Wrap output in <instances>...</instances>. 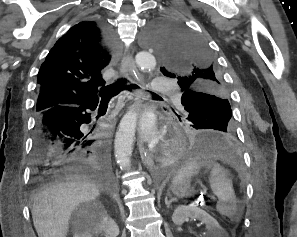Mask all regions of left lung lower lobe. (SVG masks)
<instances>
[{
    "instance_id": "left-lung-lower-lobe-1",
    "label": "left lung lower lobe",
    "mask_w": 297,
    "mask_h": 237,
    "mask_svg": "<svg viewBox=\"0 0 297 237\" xmlns=\"http://www.w3.org/2000/svg\"><path fill=\"white\" fill-rule=\"evenodd\" d=\"M191 122V129L181 142L173 156V162L183 163L204 156L230 157L237 149L234 133L218 128L214 121L205 119V123Z\"/></svg>"
}]
</instances>
